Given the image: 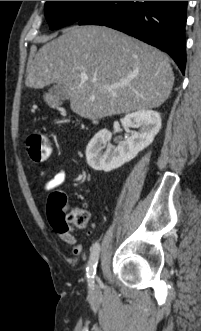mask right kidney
Masks as SVG:
<instances>
[{"label":"right kidney","mask_w":201,"mask_h":331,"mask_svg":"<svg viewBox=\"0 0 201 331\" xmlns=\"http://www.w3.org/2000/svg\"><path fill=\"white\" fill-rule=\"evenodd\" d=\"M123 126L138 127L139 130L117 147L110 144L112 134L107 129L100 130L90 140L86 148V160L91 168L110 172L134 159L154 141L161 128V117L156 111L140 110L126 115Z\"/></svg>","instance_id":"1"}]
</instances>
